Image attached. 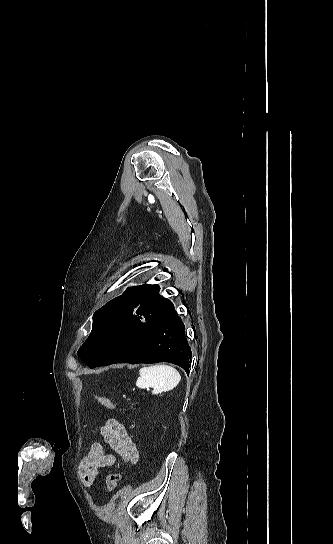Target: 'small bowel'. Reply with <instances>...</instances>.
<instances>
[{
  "mask_svg": "<svg viewBox=\"0 0 333 544\" xmlns=\"http://www.w3.org/2000/svg\"><path fill=\"white\" fill-rule=\"evenodd\" d=\"M100 436L112 451L125 460L135 463L138 459L137 449L129 437L124 424L117 418H109L100 427ZM115 456L104 451L99 443H94L79 466L82 483L89 487L96 480L101 468L113 465Z\"/></svg>",
  "mask_w": 333,
  "mask_h": 544,
  "instance_id": "c3829d8e",
  "label": "small bowel"
}]
</instances>
